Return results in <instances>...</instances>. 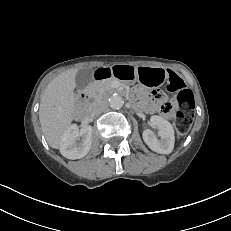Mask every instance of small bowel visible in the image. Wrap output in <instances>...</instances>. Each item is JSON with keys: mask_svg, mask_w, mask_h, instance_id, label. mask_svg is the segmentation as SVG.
I'll list each match as a JSON object with an SVG mask.
<instances>
[{"mask_svg": "<svg viewBox=\"0 0 231 231\" xmlns=\"http://www.w3.org/2000/svg\"><path fill=\"white\" fill-rule=\"evenodd\" d=\"M167 79H169V76L167 74H163V80L164 83L167 82ZM162 99V98H161Z\"/></svg>", "mask_w": 231, "mask_h": 231, "instance_id": "small-bowel-1", "label": "small bowel"}]
</instances>
